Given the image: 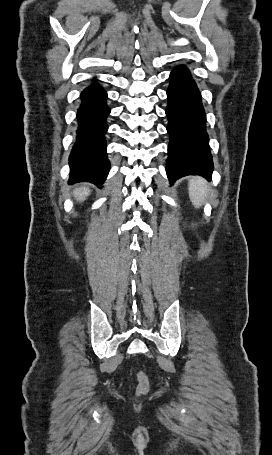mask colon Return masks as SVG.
<instances>
[{"mask_svg":"<svg viewBox=\"0 0 272 455\" xmlns=\"http://www.w3.org/2000/svg\"><path fill=\"white\" fill-rule=\"evenodd\" d=\"M137 379H138V387H137V393L139 395H143L148 392L149 388V383H148V378L143 372H138L137 373Z\"/></svg>","mask_w":272,"mask_h":455,"instance_id":"5ec220e1","label":"colon"}]
</instances>
